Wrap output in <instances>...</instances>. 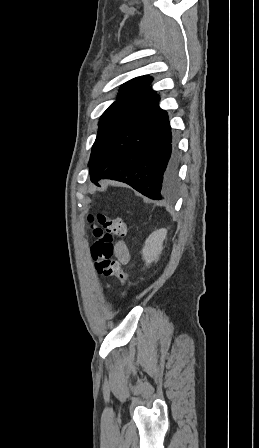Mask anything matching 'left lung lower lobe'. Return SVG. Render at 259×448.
<instances>
[{
  "label": "left lung lower lobe",
  "instance_id": "obj_1",
  "mask_svg": "<svg viewBox=\"0 0 259 448\" xmlns=\"http://www.w3.org/2000/svg\"><path fill=\"white\" fill-rule=\"evenodd\" d=\"M160 95L109 140L90 163L91 181L109 178L127 183L160 200L175 187L179 156L173 148L169 117L159 107Z\"/></svg>",
  "mask_w": 259,
  "mask_h": 448
}]
</instances>
